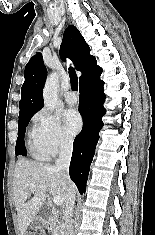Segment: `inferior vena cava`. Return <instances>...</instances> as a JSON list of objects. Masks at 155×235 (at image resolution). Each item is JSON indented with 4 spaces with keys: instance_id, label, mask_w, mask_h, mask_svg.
Instances as JSON below:
<instances>
[{
    "instance_id": "inferior-vena-cava-1",
    "label": "inferior vena cava",
    "mask_w": 155,
    "mask_h": 235,
    "mask_svg": "<svg viewBox=\"0 0 155 235\" xmlns=\"http://www.w3.org/2000/svg\"><path fill=\"white\" fill-rule=\"evenodd\" d=\"M72 148H73V140L65 139L62 141L59 158L55 162V168L63 172L64 176L70 181L69 178V165L72 156ZM75 204V192L72 190H68L67 198H66V235H74L73 227L71 224V217L73 215V208Z\"/></svg>"
}]
</instances>
